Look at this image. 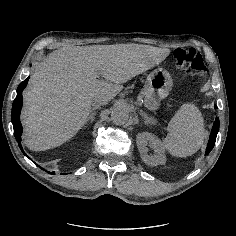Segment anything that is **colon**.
<instances>
[{
	"label": "colon",
	"mask_w": 236,
	"mask_h": 236,
	"mask_svg": "<svg viewBox=\"0 0 236 236\" xmlns=\"http://www.w3.org/2000/svg\"><path fill=\"white\" fill-rule=\"evenodd\" d=\"M173 58L175 65L189 76L204 78L207 75V66L195 48H178L174 51Z\"/></svg>",
	"instance_id": "obj_1"
}]
</instances>
